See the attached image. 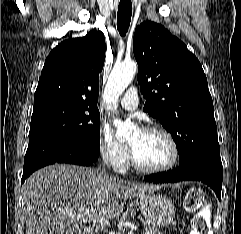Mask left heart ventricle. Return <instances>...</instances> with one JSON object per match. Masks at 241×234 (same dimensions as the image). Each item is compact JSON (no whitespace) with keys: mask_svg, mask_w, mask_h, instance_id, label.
I'll return each mask as SVG.
<instances>
[{"mask_svg":"<svg viewBox=\"0 0 241 234\" xmlns=\"http://www.w3.org/2000/svg\"><path fill=\"white\" fill-rule=\"evenodd\" d=\"M137 159L148 167H162L172 159V149L160 133L136 131L129 140Z\"/></svg>","mask_w":241,"mask_h":234,"instance_id":"obj_1","label":"left heart ventricle"}]
</instances>
